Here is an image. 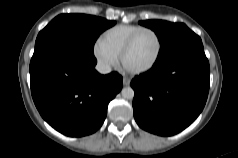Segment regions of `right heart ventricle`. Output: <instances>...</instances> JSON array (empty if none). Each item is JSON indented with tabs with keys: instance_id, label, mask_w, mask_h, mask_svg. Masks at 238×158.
Segmentation results:
<instances>
[{
	"instance_id": "e07e8e85",
	"label": "right heart ventricle",
	"mask_w": 238,
	"mask_h": 158,
	"mask_svg": "<svg viewBox=\"0 0 238 158\" xmlns=\"http://www.w3.org/2000/svg\"><path fill=\"white\" fill-rule=\"evenodd\" d=\"M144 27L130 24H120L107 29L101 36L100 41L114 54L120 56L129 38Z\"/></svg>"
}]
</instances>
